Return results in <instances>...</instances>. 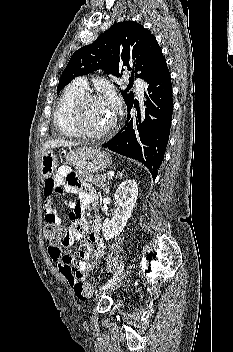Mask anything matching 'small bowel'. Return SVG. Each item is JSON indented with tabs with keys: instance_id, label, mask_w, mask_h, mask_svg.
I'll return each mask as SVG.
<instances>
[{
	"instance_id": "obj_1",
	"label": "small bowel",
	"mask_w": 233,
	"mask_h": 352,
	"mask_svg": "<svg viewBox=\"0 0 233 352\" xmlns=\"http://www.w3.org/2000/svg\"><path fill=\"white\" fill-rule=\"evenodd\" d=\"M63 193H77L76 201L66 202L69 211L70 224L62 225V220L57 209L53 205L54 198ZM44 220L45 223L56 225L64 231L66 243L72 245L75 241L82 240L89 229V224L83 215L84 208L95 201L96 194L88 184L78 179L77 175L67 166H62L56 175L48 178L44 185ZM89 241L95 246L91 253L81 250L77 253L63 251L64 246L51 245L49 255L58 264L61 274L73 286L77 281L84 278L94 266L101 262L105 254V243L101 237V221L95 216L88 233ZM92 260V261H91Z\"/></svg>"
}]
</instances>
